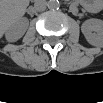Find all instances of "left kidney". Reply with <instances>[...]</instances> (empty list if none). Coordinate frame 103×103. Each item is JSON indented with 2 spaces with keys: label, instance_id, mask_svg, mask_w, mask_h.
Listing matches in <instances>:
<instances>
[{
  "label": "left kidney",
  "instance_id": "obj_1",
  "mask_svg": "<svg viewBox=\"0 0 103 103\" xmlns=\"http://www.w3.org/2000/svg\"><path fill=\"white\" fill-rule=\"evenodd\" d=\"M81 31L89 44L96 47H101L103 45L102 20L95 18L86 20L81 26Z\"/></svg>",
  "mask_w": 103,
  "mask_h": 103
}]
</instances>
